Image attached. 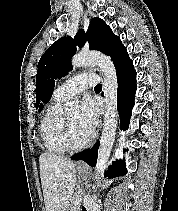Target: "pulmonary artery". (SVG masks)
Listing matches in <instances>:
<instances>
[{
  "label": "pulmonary artery",
  "mask_w": 178,
  "mask_h": 211,
  "mask_svg": "<svg viewBox=\"0 0 178 211\" xmlns=\"http://www.w3.org/2000/svg\"><path fill=\"white\" fill-rule=\"evenodd\" d=\"M97 74L88 73L72 77L56 89L55 95L67 100L81 93L85 89L97 84Z\"/></svg>",
  "instance_id": "pulmonary-artery-1"
}]
</instances>
